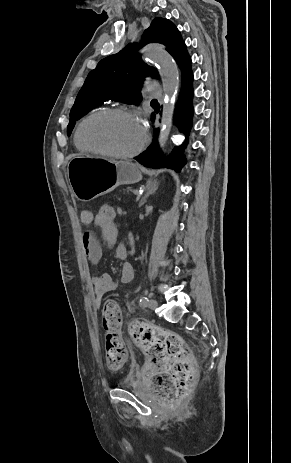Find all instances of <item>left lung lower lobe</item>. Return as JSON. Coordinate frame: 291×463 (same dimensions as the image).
I'll use <instances>...</instances> for the list:
<instances>
[{
  "label": "left lung lower lobe",
  "instance_id": "obj_1",
  "mask_svg": "<svg viewBox=\"0 0 291 463\" xmlns=\"http://www.w3.org/2000/svg\"><path fill=\"white\" fill-rule=\"evenodd\" d=\"M192 81L193 74L188 70L182 75V86L175 112L174 123L179 131L186 137L184 145L175 147L169 155L161 152L158 145L159 129H154L155 137L153 143L141 155L135 159L145 167L151 168H170L176 172H180L182 167L186 164V158L183 154V148L187 145L188 135L192 127L193 107H192ZM151 119H155V115H151Z\"/></svg>",
  "mask_w": 291,
  "mask_h": 463
}]
</instances>
